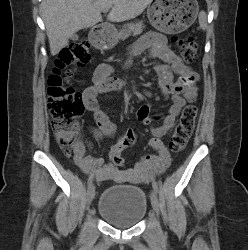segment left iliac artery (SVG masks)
<instances>
[{
    "mask_svg": "<svg viewBox=\"0 0 248 250\" xmlns=\"http://www.w3.org/2000/svg\"><path fill=\"white\" fill-rule=\"evenodd\" d=\"M152 186H153V189L158 192V185L156 183V181L154 179H152Z\"/></svg>",
    "mask_w": 248,
    "mask_h": 250,
    "instance_id": "obj_1",
    "label": "left iliac artery"
}]
</instances>
